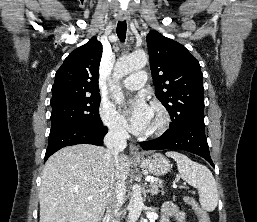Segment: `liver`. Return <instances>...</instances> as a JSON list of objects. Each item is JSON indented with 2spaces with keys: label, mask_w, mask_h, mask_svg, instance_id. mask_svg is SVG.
<instances>
[{
  "label": "liver",
  "mask_w": 257,
  "mask_h": 222,
  "mask_svg": "<svg viewBox=\"0 0 257 222\" xmlns=\"http://www.w3.org/2000/svg\"><path fill=\"white\" fill-rule=\"evenodd\" d=\"M129 170L128 157L120 155L113 173L103 147L78 144L60 149L44 166L40 222H99L117 178L125 182Z\"/></svg>",
  "instance_id": "6515ba94"
}]
</instances>
